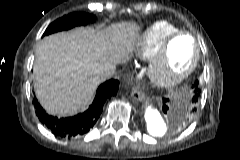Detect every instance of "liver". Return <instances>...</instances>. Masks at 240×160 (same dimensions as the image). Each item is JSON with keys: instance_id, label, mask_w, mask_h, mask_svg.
Returning <instances> with one entry per match:
<instances>
[{"instance_id": "obj_1", "label": "liver", "mask_w": 240, "mask_h": 160, "mask_svg": "<svg viewBox=\"0 0 240 160\" xmlns=\"http://www.w3.org/2000/svg\"><path fill=\"white\" fill-rule=\"evenodd\" d=\"M137 31L136 24L122 22L106 30L80 27L43 38L33 66L40 104L58 117L84 109L104 79L102 71L126 61Z\"/></svg>"}]
</instances>
